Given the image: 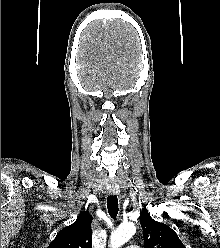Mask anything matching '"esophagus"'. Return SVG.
<instances>
[{
	"mask_svg": "<svg viewBox=\"0 0 220 248\" xmlns=\"http://www.w3.org/2000/svg\"><path fill=\"white\" fill-rule=\"evenodd\" d=\"M108 192L111 195H118L119 194V187L116 184H110L108 186Z\"/></svg>",
	"mask_w": 220,
	"mask_h": 248,
	"instance_id": "obj_1",
	"label": "esophagus"
}]
</instances>
